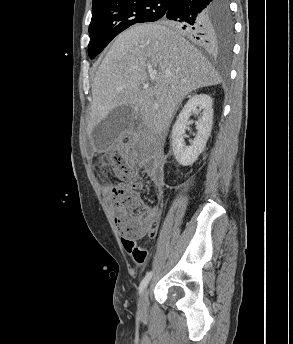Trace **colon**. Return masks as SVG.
<instances>
[{"instance_id": "1", "label": "colon", "mask_w": 293, "mask_h": 344, "mask_svg": "<svg viewBox=\"0 0 293 344\" xmlns=\"http://www.w3.org/2000/svg\"><path fill=\"white\" fill-rule=\"evenodd\" d=\"M106 162L122 183L110 193V205L116 216L121 234L129 239L142 236L154 237L157 231V215L148 209L138 197L142 183L132 160L119 151L106 155Z\"/></svg>"}]
</instances>
